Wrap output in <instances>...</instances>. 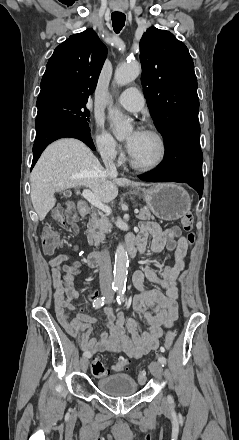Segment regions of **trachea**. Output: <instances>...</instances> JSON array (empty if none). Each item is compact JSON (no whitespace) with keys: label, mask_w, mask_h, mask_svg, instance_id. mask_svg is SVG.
Listing matches in <instances>:
<instances>
[{"label":"trachea","mask_w":239,"mask_h":440,"mask_svg":"<svg viewBox=\"0 0 239 440\" xmlns=\"http://www.w3.org/2000/svg\"><path fill=\"white\" fill-rule=\"evenodd\" d=\"M125 20H126V16L124 13L121 12L112 13V24L115 33H119L122 30L125 24Z\"/></svg>","instance_id":"trachea-1"}]
</instances>
